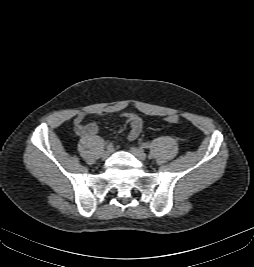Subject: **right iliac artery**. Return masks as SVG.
Returning a JSON list of instances; mask_svg holds the SVG:
<instances>
[{
  "instance_id": "1",
  "label": "right iliac artery",
  "mask_w": 254,
  "mask_h": 267,
  "mask_svg": "<svg viewBox=\"0 0 254 267\" xmlns=\"http://www.w3.org/2000/svg\"><path fill=\"white\" fill-rule=\"evenodd\" d=\"M113 148V144L112 143H109L108 145H107V149H112Z\"/></svg>"
}]
</instances>
